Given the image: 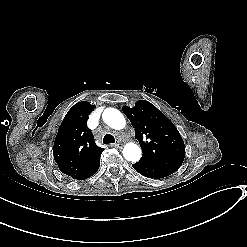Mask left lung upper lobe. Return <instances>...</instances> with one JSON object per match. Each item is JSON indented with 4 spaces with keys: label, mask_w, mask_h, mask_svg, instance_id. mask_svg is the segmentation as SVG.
<instances>
[{
    "label": "left lung upper lobe",
    "mask_w": 247,
    "mask_h": 247,
    "mask_svg": "<svg viewBox=\"0 0 247 247\" xmlns=\"http://www.w3.org/2000/svg\"><path fill=\"white\" fill-rule=\"evenodd\" d=\"M123 112L135 128L142 158L177 170L185 157V145L175 125L153 104L139 100Z\"/></svg>",
    "instance_id": "5c2ea615"
}]
</instances>
